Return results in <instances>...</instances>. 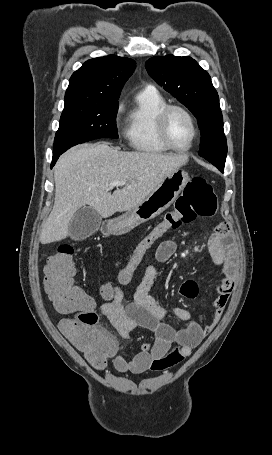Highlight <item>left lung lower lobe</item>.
<instances>
[{
	"instance_id": "0a47b994",
	"label": "left lung lower lobe",
	"mask_w": 272,
	"mask_h": 455,
	"mask_svg": "<svg viewBox=\"0 0 272 455\" xmlns=\"http://www.w3.org/2000/svg\"><path fill=\"white\" fill-rule=\"evenodd\" d=\"M214 166H216L221 172L224 170V165L226 161V155H217L206 158Z\"/></svg>"
}]
</instances>
